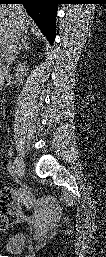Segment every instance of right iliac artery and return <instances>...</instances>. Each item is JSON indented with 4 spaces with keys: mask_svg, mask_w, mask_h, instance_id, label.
Segmentation results:
<instances>
[{
    "mask_svg": "<svg viewBox=\"0 0 106 257\" xmlns=\"http://www.w3.org/2000/svg\"><path fill=\"white\" fill-rule=\"evenodd\" d=\"M7 168H8L9 174L12 175V174H13V171H14V165H13V163H12L11 160H9L8 165H7Z\"/></svg>",
    "mask_w": 106,
    "mask_h": 257,
    "instance_id": "obj_1",
    "label": "right iliac artery"
}]
</instances>
